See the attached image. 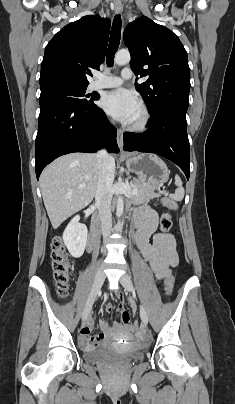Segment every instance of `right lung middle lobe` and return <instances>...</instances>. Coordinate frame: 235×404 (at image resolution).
I'll list each match as a JSON object with an SVG mask.
<instances>
[{
    "label": "right lung middle lobe",
    "mask_w": 235,
    "mask_h": 404,
    "mask_svg": "<svg viewBox=\"0 0 235 404\" xmlns=\"http://www.w3.org/2000/svg\"><path fill=\"white\" fill-rule=\"evenodd\" d=\"M40 87V105L61 103L73 107H86L93 105V100L99 99L97 95L85 94L87 85L56 81L42 84Z\"/></svg>",
    "instance_id": "1"
}]
</instances>
